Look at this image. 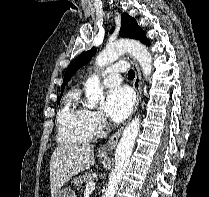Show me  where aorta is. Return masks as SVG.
<instances>
[{
  "instance_id": "obj_1",
  "label": "aorta",
  "mask_w": 209,
  "mask_h": 197,
  "mask_svg": "<svg viewBox=\"0 0 209 197\" xmlns=\"http://www.w3.org/2000/svg\"><path fill=\"white\" fill-rule=\"evenodd\" d=\"M130 53L140 64L143 74L147 78L152 72V56L148 49L135 40H118L106 48L96 57V66L103 67L118 59L124 53ZM85 94L87 107H95L103 100L104 92L100 86L99 76L94 74L85 82ZM140 130V117H135L124 129L122 137L115 151V166L110 175L108 187L103 197H114L122 177L129 164L130 156L135 144L136 137Z\"/></svg>"
}]
</instances>
